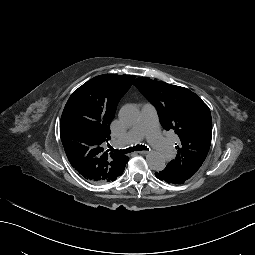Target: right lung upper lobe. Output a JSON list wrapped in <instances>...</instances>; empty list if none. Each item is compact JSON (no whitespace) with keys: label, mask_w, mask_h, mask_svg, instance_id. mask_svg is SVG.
I'll use <instances>...</instances> for the list:
<instances>
[{"label":"right lung upper lobe","mask_w":255,"mask_h":255,"mask_svg":"<svg viewBox=\"0 0 255 255\" xmlns=\"http://www.w3.org/2000/svg\"><path fill=\"white\" fill-rule=\"evenodd\" d=\"M133 75H99L76 89L60 120V137L73 168L94 184H106L122 175L128 157L103 149L120 99L131 87Z\"/></svg>","instance_id":"1"}]
</instances>
